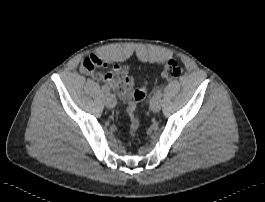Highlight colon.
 Wrapping results in <instances>:
<instances>
[{"mask_svg":"<svg viewBox=\"0 0 265 202\" xmlns=\"http://www.w3.org/2000/svg\"><path fill=\"white\" fill-rule=\"evenodd\" d=\"M182 73V68L178 62L172 60L169 61L162 72L163 78L167 80H173ZM146 97V86H143L136 90L133 94V101L130 104L128 115H129V130L131 135H135L139 128V121L137 117V111L139 103H141Z\"/></svg>","mask_w":265,"mask_h":202,"instance_id":"colon-1","label":"colon"}]
</instances>
